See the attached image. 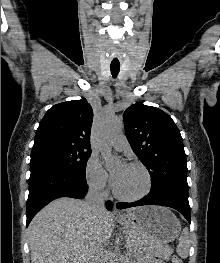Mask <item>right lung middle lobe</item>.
<instances>
[{
	"label": "right lung middle lobe",
	"instance_id": "obj_1",
	"mask_svg": "<svg viewBox=\"0 0 220 263\" xmlns=\"http://www.w3.org/2000/svg\"><path fill=\"white\" fill-rule=\"evenodd\" d=\"M91 155L87 148H50L31 153L30 165L47 164L76 174H85Z\"/></svg>",
	"mask_w": 220,
	"mask_h": 263
}]
</instances>
